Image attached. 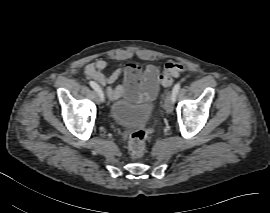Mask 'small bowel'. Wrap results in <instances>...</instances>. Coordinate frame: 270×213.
<instances>
[{
  "label": "small bowel",
  "mask_w": 270,
  "mask_h": 213,
  "mask_svg": "<svg viewBox=\"0 0 270 213\" xmlns=\"http://www.w3.org/2000/svg\"><path fill=\"white\" fill-rule=\"evenodd\" d=\"M108 63L105 59H98L87 64L84 68L85 75L106 88L107 93L113 98L135 97L140 91L147 100H152L158 93L159 70L154 65H149L143 71L135 64L116 69L110 75H105L104 70ZM124 77L122 83L114 86L115 82Z\"/></svg>",
  "instance_id": "1"
}]
</instances>
